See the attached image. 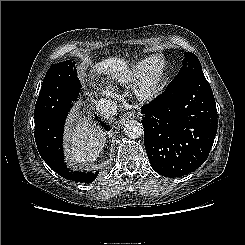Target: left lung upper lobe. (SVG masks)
<instances>
[{
    "mask_svg": "<svg viewBox=\"0 0 245 245\" xmlns=\"http://www.w3.org/2000/svg\"><path fill=\"white\" fill-rule=\"evenodd\" d=\"M198 77H204L199 59L193 53L185 52L182 67L167 88L177 86Z\"/></svg>",
    "mask_w": 245,
    "mask_h": 245,
    "instance_id": "1",
    "label": "left lung upper lobe"
}]
</instances>
